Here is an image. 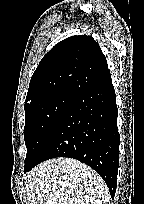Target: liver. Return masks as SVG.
Returning <instances> with one entry per match:
<instances>
[{
	"label": "liver",
	"mask_w": 144,
	"mask_h": 204,
	"mask_svg": "<svg viewBox=\"0 0 144 204\" xmlns=\"http://www.w3.org/2000/svg\"><path fill=\"white\" fill-rule=\"evenodd\" d=\"M29 204H110L109 189L96 171L71 158H56L28 175Z\"/></svg>",
	"instance_id": "6515ba94"
}]
</instances>
